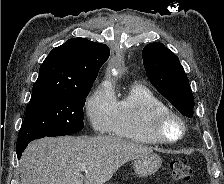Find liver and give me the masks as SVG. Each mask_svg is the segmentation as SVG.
I'll return each instance as SVG.
<instances>
[{
    "mask_svg": "<svg viewBox=\"0 0 224 184\" xmlns=\"http://www.w3.org/2000/svg\"><path fill=\"white\" fill-rule=\"evenodd\" d=\"M119 137H45L20 159L21 184H104L128 161L152 153ZM81 167H86L85 175Z\"/></svg>",
    "mask_w": 224,
    "mask_h": 184,
    "instance_id": "obj_1",
    "label": "liver"
}]
</instances>
